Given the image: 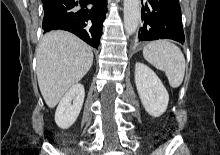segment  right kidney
Listing matches in <instances>:
<instances>
[{"label":"right kidney","instance_id":"obj_1","mask_svg":"<svg viewBox=\"0 0 220 155\" xmlns=\"http://www.w3.org/2000/svg\"><path fill=\"white\" fill-rule=\"evenodd\" d=\"M84 97L85 91L82 84H75L70 88L55 112V122L58 127L67 129L74 124L81 111Z\"/></svg>","mask_w":220,"mask_h":155}]
</instances>
